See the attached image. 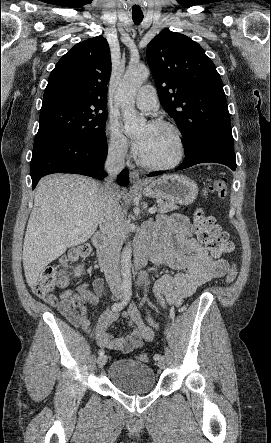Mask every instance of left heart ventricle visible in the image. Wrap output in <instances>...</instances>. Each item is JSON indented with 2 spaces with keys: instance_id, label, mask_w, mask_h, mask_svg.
Masks as SVG:
<instances>
[{
  "instance_id": "left-heart-ventricle-1",
  "label": "left heart ventricle",
  "mask_w": 271,
  "mask_h": 443,
  "mask_svg": "<svg viewBox=\"0 0 271 443\" xmlns=\"http://www.w3.org/2000/svg\"><path fill=\"white\" fill-rule=\"evenodd\" d=\"M146 133V145L141 156L153 163H167L178 153V143L174 132L167 127L147 125L141 127L138 134Z\"/></svg>"
}]
</instances>
